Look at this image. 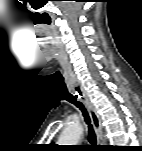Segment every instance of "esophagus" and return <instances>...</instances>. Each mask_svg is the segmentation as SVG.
I'll return each mask as SVG.
<instances>
[{
	"label": "esophagus",
	"mask_w": 142,
	"mask_h": 151,
	"mask_svg": "<svg viewBox=\"0 0 142 151\" xmlns=\"http://www.w3.org/2000/svg\"><path fill=\"white\" fill-rule=\"evenodd\" d=\"M74 93H75V95H78V97L81 99V101L85 104V106L89 112L90 118L92 120L94 130L97 135V141L99 144H101L102 143V124H101V118H100L95 106L91 103L86 92L84 91V89L81 86H76L74 89Z\"/></svg>",
	"instance_id": "esophagus-1"
}]
</instances>
